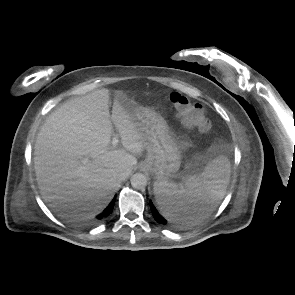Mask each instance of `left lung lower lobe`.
Segmentation results:
<instances>
[{
  "instance_id": "0a47b994",
  "label": "left lung lower lobe",
  "mask_w": 295,
  "mask_h": 295,
  "mask_svg": "<svg viewBox=\"0 0 295 295\" xmlns=\"http://www.w3.org/2000/svg\"><path fill=\"white\" fill-rule=\"evenodd\" d=\"M150 208H151V211H152V214H153L155 220L163 225H166L167 224L166 219L160 215V213L157 211V209L155 208V206L153 205L152 202H150ZM190 215L196 216V215H198V212L192 208L190 210Z\"/></svg>"
}]
</instances>
